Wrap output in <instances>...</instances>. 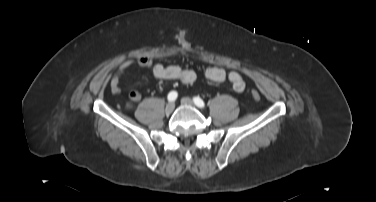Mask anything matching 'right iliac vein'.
<instances>
[{"label":"right iliac vein","mask_w":376,"mask_h":202,"mask_svg":"<svg viewBox=\"0 0 376 202\" xmlns=\"http://www.w3.org/2000/svg\"><path fill=\"white\" fill-rule=\"evenodd\" d=\"M175 108V104L173 102H169L165 107V113L167 115L171 114Z\"/></svg>","instance_id":"right-iliac-vein-1"}]
</instances>
